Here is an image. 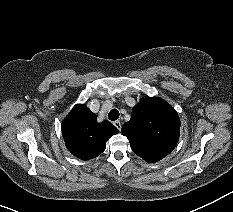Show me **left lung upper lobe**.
Here are the masks:
<instances>
[{
	"instance_id": "obj_1",
	"label": "left lung upper lobe",
	"mask_w": 233,
	"mask_h": 212,
	"mask_svg": "<svg viewBox=\"0 0 233 212\" xmlns=\"http://www.w3.org/2000/svg\"><path fill=\"white\" fill-rule=\"evenodd\" d=\"M122 134L131 149L145 161L154 163L168 155L179 139L180 119L170 104L157 97H146L133 107Z\"/></svg>"
}]
</instances>
